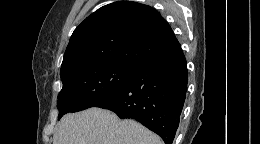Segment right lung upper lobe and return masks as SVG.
<instances>
[{
    "label": "right lung upper lobe",
    "mask_w": 260,
    "mask_h": 144,
    "mask_svg": "<svg viewBox=\"0 0 260 144\" xmlns=\"http://www.w3.org/2000/svg\"><path fill=\"white\" fill-rule=\"evenodd\" d=\"M179 47L158 11L148 5L118 1L101 7L74 30L60 75L103 64L135 68Z\"/></svg>",
    "instance_id": "obj_1"
}]
</instances>
